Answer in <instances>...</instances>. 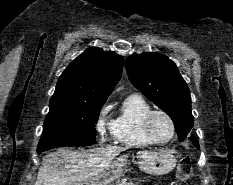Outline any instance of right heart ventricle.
Returning <instances> with one entry per match:
<instances>
[{
    "mask_svg": "<svg viewBox=\"0 0 233 185\" xmlns=\"http://www.w3.org/2000/svg\"><path fill=\"white\" fill-rule=\"evenodd\" d=\"M151 110V105L141 95L127 96L113 119L115 142L136 148L154 144L143 128V120Z\"/></svg>",
    "mask_w": 233,
    "mask_h": 185,
    "instance_id": "e07e8e85",
    "label": "right heart ventricle"
}]
</instances>
